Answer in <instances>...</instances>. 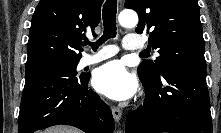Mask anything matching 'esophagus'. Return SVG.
<instances>
[{"instance_id":"1","label":"esophagus","mask_w":221,"mask_h":133,"mask_svg":"<svg viewBox=\"0 0 221 133\" xmlns=\"http://www.w3.org/2000/svg\"><path fill=\"white\" fill-rule=\"evenodd\" d=\"M111 110H112V115H113L114 120L116 122H119L121 117H122L121 109H119L118 107L113 106Z\"/></svg>"}]
</instances>
